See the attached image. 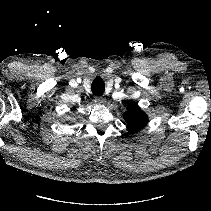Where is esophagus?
Returning a JSON list of instances; mask_svg holds the SVG:
<instances>
[{
	"instance_id": "obj_1",
	"label": "esophagus",
	"mask_w": 211,
	"mask_h": 211,
	"mask_svg": "<svg viewBox=\"0 0 211 211\" xmlns=\"http://www.w3.org/2000/svg\"><path fill=\"white\" fill-rule=\"evenodd\" d=\"M96 102L98 104H101V105H104L106 103V99L104 97H101V96H97L96 97Z\"/></svg>"
}]
</instances>
